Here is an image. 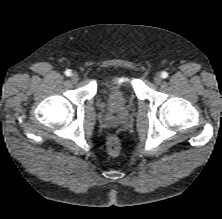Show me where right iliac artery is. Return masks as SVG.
<instances>
[{
  "label": "right iliac artery",
  "mask_w": 222,
  "mask_h": 219,
  "mask_svg": "<svg viewBox=\"0 0 222 219\" xmlns=\"http://www.w3.org/2000/svg\"><path fill=\"white\" fill-rule=\"evenodd\" d=\"M71 74H72L71 70L67 69V70L65 71V75H66V76H71Z\"/></svg>",
  "instance_id": "right-iliac-artery-1"
}]
</instances>
